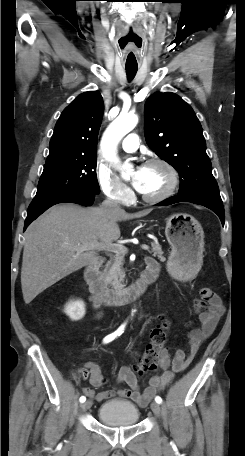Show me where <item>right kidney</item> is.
Segmentation results:
<instances>
[{"label": "right kidney", "mask_w": 245, "mask_h": 456, "mask_svg": "<svg viewBox=\"0 0 245 456\" xmlns=\"http://www.w3.org/2000/svg\"><path fill=\"white\" fill-rule=\"evenodd\" d=\"M64 312L71 318V320L77 321L85 315V304L82 300L70 301L66 304Z\"/></svg>", "instance_id": "1"}]
</instances>
